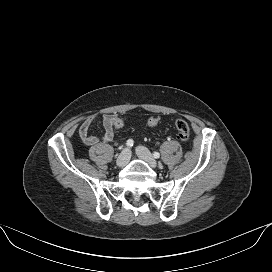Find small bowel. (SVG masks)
Segmentation results:
<instances>
[{
  "instance_id": "1",
  "label": "small bowel",
  "mask_w": 272,
  "mask_h": 272,
  "mask_svg": "<svg viewBox=\"0 0 272 272\" xmlns=\"http://www.w3.org/2000/svg\"><path fill=\"white\" fill-rule=\"evenodd\" d=\"M117 117L114 113L104 114L102 122L104 126V133L102 136H94L89 133L92 124L99 118L97 115L88 116L79 127V137L86 146H94L100 142H109L114 138L115 128L113 122Z\"/></svg>"
}]
</instances>
